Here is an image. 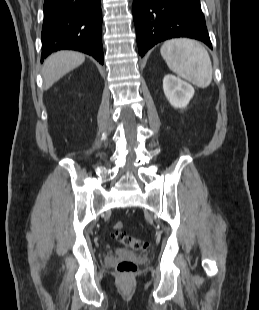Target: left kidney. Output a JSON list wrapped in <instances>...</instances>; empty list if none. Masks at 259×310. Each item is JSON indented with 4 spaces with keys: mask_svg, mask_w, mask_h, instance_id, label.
Returning a JSON list of instances; mask_svg holds the SVG:
<instances>
[{
    "mask_svg": "<svg viewBox=\"0 0 259 310\" xmlns=\"http://www.w3.org/2000/svg\"><path fill=\"white\" fill-rule=\"evenodd\" d=\"M163 91L174 108H185L195 92L192 85L172 74L164 76Z\"/></svg>",
    "mask_w": 259,
    "mask_h": 310,
    "instance_id": "left-kidney-1",
    "label": "left kidney"
}]
</instances>
